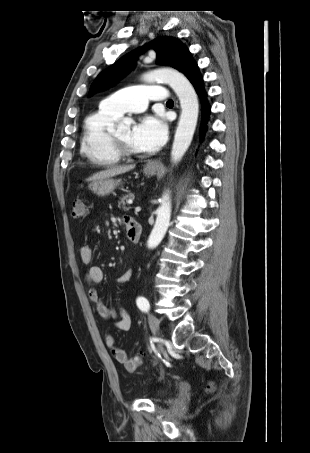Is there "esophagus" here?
<instances>
[{
	"label": "esophagus",
	"mask_w": 310,
	"mask_h": 453,
	"mask_svg": "<svg viewBox=\"0 0 310 453\" xmlns=\"http://www.w3.org/2000/svg\"><path fill=\"white\" fill-rule=\"evenodd\" d=\"M161 165V161L160 159H156V160H153V161H150L147 166L148 167H151V168H156V167H159Z\"/></svg>",
	"instance_id": "34e87169"
}]
</instances>
